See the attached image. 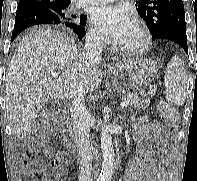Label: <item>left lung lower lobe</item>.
Instances as JSON below:
<instances>
[{
	"label": "left lung lower lobe",
	"instance_id": "0a47b994",
	"mask_svg": "<svg viewBox=\"0 0 197 181\" xmlns=\"http://www.w3.org/2000/svg\"><path fill=\"white\" fill-rule=\"evenodd\" d=\"M164 39H169L179 44L188 54L186 26H175L163 33Z\"/></svg>",
	"mask_w": 197,
	"mask_h": 181
}]
</instances>
